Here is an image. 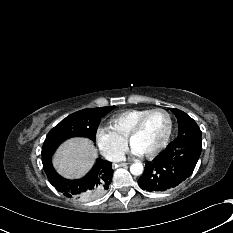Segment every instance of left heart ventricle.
I'll return each mask as SVG.
<instances>
[{"label":"left heart ventricle","mask_w":233,"mask_h":233,"mask_svg":"<svg viewBox=\"0 0 233 233\" xmlns=\"http://www.w3.org/2000/svg\"><path fill=\"white\" fill-rule=\"evenodd\" d=\"M168 129V117L163 112L151 114L141 131L133 138L132 147L140 154L155 149L164 139Z\"/></svg>","instance_id":"obj_1"}]
</instances>
